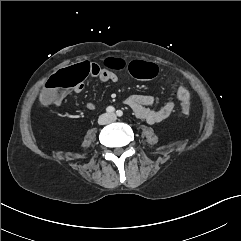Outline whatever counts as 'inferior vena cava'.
I'll list each match as a JSON object with an SVG mask.
<instances>
[{"label":"inferior vena cava","mask_w":241,"mask_h":241,"mask_svg":"<svg viewBox=\"0 0 241 241\" xmlns=\"http://www.w3.org/2000/svg\"><path fill=\"white\" fill-rule=\"evenodd\" d=\"M102 117L105 118V120L103 121V123H110L112 121H114V116L113 115H109V114H103Z\"/></svg>","instance_id":"inferior-vena-cava-1"}]
</instances>
